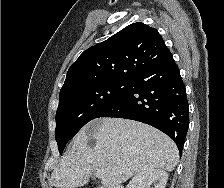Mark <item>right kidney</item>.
Masks as SVG:
<instances>
[{
	"mask_svg": "<svg viewBox=\"0 0 224 188\" xmlns=\"http://www.w3.org/2000/svg\"><path fill=\"white\" fill-rule=\"evenodd\" d=\"M168 173L163 169H152L135 175L126 188H165Z\"/></svg>",
	"mask_w": 224,
	"mask_h": 188,
	"instance_id": "1",
	"label": "right kidney"
}]
</instances>
